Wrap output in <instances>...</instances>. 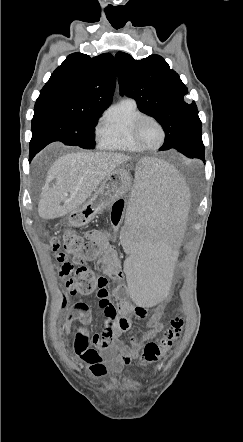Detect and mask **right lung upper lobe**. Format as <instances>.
<instances>
[{"label": "right lung upper lobe", "instance_id": "obj_1", "mask_svg": "<svg viewBox=\"0 0 243 442\" xmlns=\"http://www.w3.org/2000/svg\"><path fill=\"white\" fill-rule=\"evenodd\" d=\"M116 82L114 57L70 54L52 73L38 99H57L74 108L104 111L112 102Z\"/></svg>", "mask_w": 243, "mask_h": 442}]
</instances>
